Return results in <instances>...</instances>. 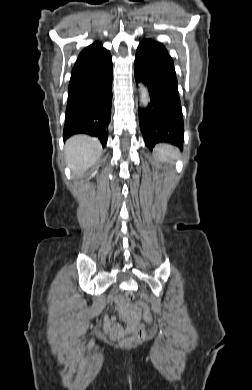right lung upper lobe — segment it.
Masks as SVG:
<instances>
[{
    "instance_id": "1",
    "label": "right lung upper lobe",
    "mask_w": 252,
    "mask_h": 390,
    "mask_svg": "<svg viewBox=\"0 0 252 390\" xmlns=\"http://www.w3.org/2000/svg\"><path fill=\"white\" fill-rule=\"evenodd\" d=\"M111 66L110 52L103 48L101 43L95 42L79 54L72 70L70 83L82 78L100 75Z\"/></svg>"
}]
</instances>
